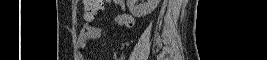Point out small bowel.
<instances>
[{
  "instance_id": "c3829d8e",
  "label": "small bowel",
  "mask_w": 267,
  "mask_h": 60,
  "mask_svg": "<svg viewBox=\"0 0 267 60\" xmlns=\"http://www.w3.org/2000/svg\"><path fill=\"white\" fill-rule=\"evenodd\" d=\"M110 2L116 3L122 10V13L118 14L114 18V24L118 26H124L126 28L131 27L134 24V18L130 14L125 12L126 9L125 1L115 0ZM100 35H101V29L99 27L85 24L83 29L80 31L78 35V42L79 44L83 45L91 40L99 38Z\"/></svg>"
}]
</instances>
